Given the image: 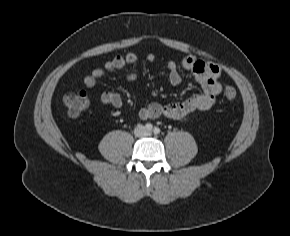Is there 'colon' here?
I'll use <instances>...</instances> for the list:
<instances>
[{
  "mask_svg": "<svg viewBox=\"0 0 290 236\" xmlns=\"http://www.w3.org/2000/svg\"><path fill=\"white\" fill-rule=\"evenodd\" d=\"M224 96L228 100H234L237 97V91L233 87H227ZM63 102L71 117L79 116L89 105L87 93L83 90L68 92L63 97Z\"/></svg>",
  "mask_w": 290,
  "mask_h": 236,
  "instance_id": "5ec220e1",
  "label": "colon"
}]
</instances>
